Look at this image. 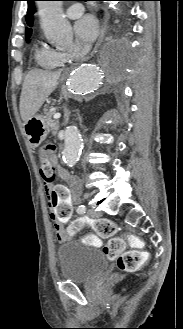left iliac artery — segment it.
<instances>
[{"label": "left iliac artery", "instance_id": "44dca946", "mask_svg": "<svg viewBox=\"0 0 183 329\" xmlns=\"http://www.w3.org/2000/svg\"><path fill=\"white\" fill-rule=\"evenodd\" d=\"M86 211V207L84 205H80L78 208H77V212L79 214H84Z\"/></svg>", "mask_w": 183, "mask_h": 329}]
</instances>
